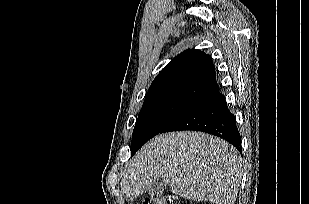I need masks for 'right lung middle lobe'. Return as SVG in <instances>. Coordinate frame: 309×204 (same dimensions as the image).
<instances>
[{"label": "right lung middle lobe", "instance_id": "obj_1", "mask_svg": "<svg viewBox=\"0 0 309 204\" xmlns=\"http://www.w3.org/2000/svg\"><path fill=\"white\" fill-rule=\"evenodd\" d=\"M197 105L186 101H159L143 104L131 142L134 155L149 139L161 133L170 123Z\"/></svg>", "mask_w": 309, "mask_h": 204}]
</instances>
